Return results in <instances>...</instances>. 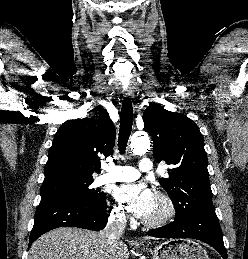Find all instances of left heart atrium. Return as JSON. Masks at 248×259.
Listing matches in <instances>:
<instances>
[{"label":"left heart atrium","instance_id":"left-heart-atrium-1","mask_svg":"<svg viewBox=\"0 0 248 259\" xmlns=\"http://www.w3.org/2000/svg\"><path fill=\"white\" fill-rule=\"evenodd\" d=\"M117 200L137 217H145L153 203L154 194L143 184L122 185L114 190Z\"/></svg>","mask_w":248,"mask_h":259}]
</instances>
